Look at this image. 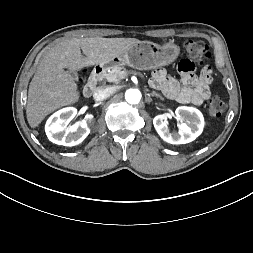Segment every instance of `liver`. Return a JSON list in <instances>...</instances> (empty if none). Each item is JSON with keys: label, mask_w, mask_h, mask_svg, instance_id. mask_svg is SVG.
<instances>
[{"label": "liver", "mask_w": 253, "mask_h": 253, "mask_svg": "<svg viewBox=\"0 0 253 253\" xmlns=\"http://www.w3.org/2000/svg\"><path fill=\"white\" fill-rule=\"evenodd\" d=\"M135 38L86 37L64 39L41 60L30 82L26 115L29 125L37 127L54 110L76 103L80 98L75 79L64 69L104 65L140 43ZM82 52L85 56L81 54Z\"/></svg>", "instance_id": "obj_1"}]
</instances>
